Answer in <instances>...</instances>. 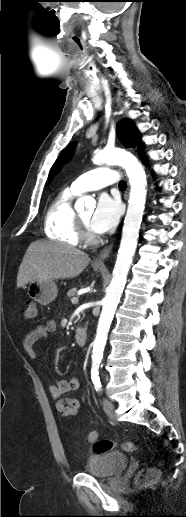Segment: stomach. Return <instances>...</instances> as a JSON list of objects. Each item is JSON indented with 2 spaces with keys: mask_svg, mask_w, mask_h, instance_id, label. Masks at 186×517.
Listing matches in <instances>:
<instances>
[{
  "mask_svg": "<svg viewBox=\"0 0 186 517\" xmlns=\"http://www.w3.org/2000/svg\"><path fill=\"white\" fill-rule=\"evenodd\" d=\"M102 267H94L95 271H102ZM27 293L30 298L41 305H48L55 300L58 294L57 286L53 280L30 282Z\"/></svg>",
  "mask_w": 186,
  "mask_h": 517,
  "instance_id": "obj_1",
  "label": "stomach"
}]
</instances>
